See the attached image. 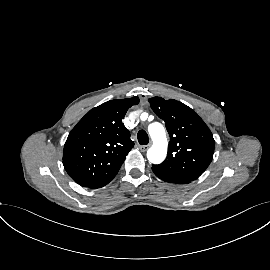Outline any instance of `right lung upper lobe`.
Masks as SVG:
<instances>
[{
	"instance_id": "obj_1",
	"label": "right lung upper lobe",
	"mask_w": 270,
	"mask_h": 270,
	"mask_svg": "<svg viewBox=\"0 0 270 270\" xmlns=\"http://www.w3.org/2000/svg\"><path fill=\"white\" fill-rule=\"evenodd\" d=\"M138 103V97L105 102L90 110L69 133L63 165L76 183L92 188L116 176L134 146L122 119Z\"/></svg>"
}]
</instances>
